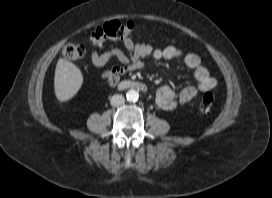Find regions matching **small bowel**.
<instances>
[{
	"label": "small bowel",
	"mask_w": 272,
	"mask_h": 198,
	"mask_svg": "<svg viewBox=\"0 0 272 198\" xmlns=\"http://www.w3.org/2000/svg\"><path fill=\"white\" fill-rule=\"evenodd\" d=\"M124 49L111 48L103 53L94 51L92 62L95 67L101 68L109 60L116 59L120 65L101 71L100 78L109 86L115 87L126 73L146 67L158 60H181L186 67L193 71L197 86H186L179 90L164 85L157 89L155 103L164 110H173L179 104L193 100L199 93L214 89L217 81L201 64L198 55L185 53L175 46L152 48L149 44L137 42L131 38L122 40Z\"/></svg>",
	"instance_id": "c3829d8e"
}]
</instances>
